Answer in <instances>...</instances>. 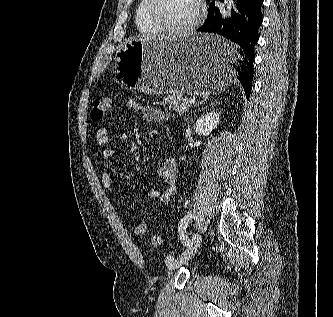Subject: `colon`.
Instances as JSON below:
<instances>
[{"mask_svg": "<svg viewBox=\"0 0 333 317\" xmlns=\"http://www.w3.org/2000/svg\"><path fill=\"white\" fill-rule=\"evenodd\" d=\"M111 101L108 97L102 96L94 99L92 104L91 119L93 122H100L109 112ZM152 245L159 246L161 244V237L154 235L151 239Z\"/></svg>", "mask_w": 333, "mask_h": 317, "instance_id": "colon-1", "label": "colon"}]
</instances>
